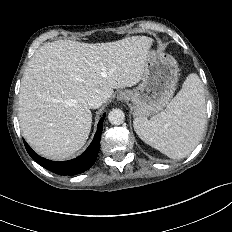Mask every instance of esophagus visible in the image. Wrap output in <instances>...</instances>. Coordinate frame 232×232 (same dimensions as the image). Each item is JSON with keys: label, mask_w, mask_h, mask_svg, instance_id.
<instances>
[{"label": "esophagus", "mask_w": 232, "mask_h": 232, "mask_svg": "<svg viewBox=\"0 0 232 232\" xmlns=\"http://www.w3.org/2000/svg\"><path fill=\"white\" fill-rule=\"evenodd\" d=\"M130 97V94L128 91H121L118 96L117 99L121 102L127 101Z\"/></svg>", "instance_id": "esophagus-1"}]
</instances>
